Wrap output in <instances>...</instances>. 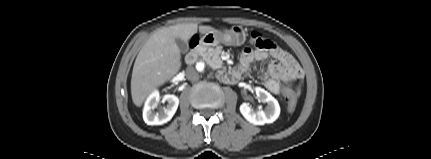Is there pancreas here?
Here are the masks:
<instances>
[{"instance_id":"cf45deb5","label":"pancreas","mask_w":431,"mask_h":159,"mask_svg":"<svg viewBox=\"0 0 431 159\" xmlns=\"http://www.w3.org/2000/svg\"><path fill=\"white\" fill-rule=\"evenodd\" d=\"M222 53V46L216 48H208L200 52L203 60L213 68H219L222 65L220 54Z\"/></svg>"}]
</instances>
